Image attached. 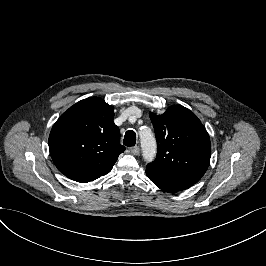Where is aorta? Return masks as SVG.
Masks as SVG:
<instances>
[{"label":"aorta","mask_w":266,"mask_h":266,"mask_svg":"<svg viewBox=\"0 0 266 266\" xmlns=\"http://www.w3.org/2000/svg\"><path fill=\"white\" fill-rule=\"evenodd\" d=\"M141 143L151 141L154 143V147L151 149H144L142 151V159L145 163L151 164L154 162L157 154L156 139L152 130L146 127L138 132Z\"/></svg>","instance_id":"aorta-1"}]
</instances>
